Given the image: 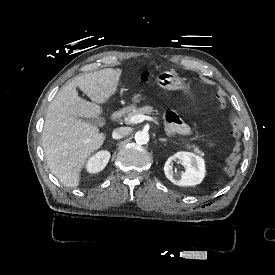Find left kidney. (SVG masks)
I'll return each instance as SVG.
<instances>
[{"instance_id": "5707ae66", "label": "left kidney", "mask_w": 275, "mask_h": 275, "mask_svg": "<svg viewBox=\"0 0 275 275\" xmlns=\"http://www.w3.org/2000/svg\"><path fill=\"white\" fill-rule=\"evenodd\" d=\"M175 159L182 161L186 166V171L180 177L173 173L171 162ZM166 177L174 184L179 186H194L200 184L205 177V161L202 157L191 152L180 151L170 156L164 165Z\"/></svg>"}]
</instances>
